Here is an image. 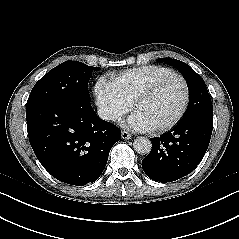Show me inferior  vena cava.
I'll return each instance as SVG.
<instances>
[{"label":"inferior vena cava","instance_id":"602c4592","mask_svg":"<svg viewBox=\"0 0 239 239\" xmlns=\"http://www.w3.org/2000/svg\"><path fill=\"white\" fill-rule=\"evenodd\" d=\"M98 116L103 120H115V114L108 108L102 107L98 109Z\"/></svg>","mask_w":239,"mask_h":239}]
</instances>
